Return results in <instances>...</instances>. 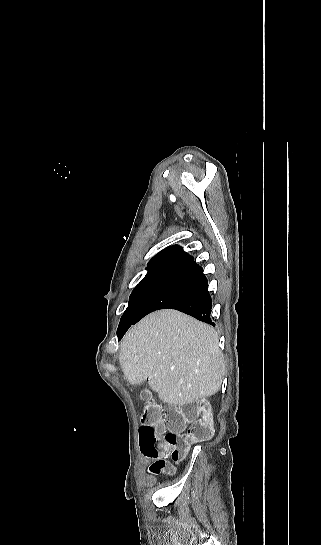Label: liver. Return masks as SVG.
<instances>
[{
    "label": "liver",
    "instance_id": "obj_1",
    "mask_svg": "<svg viewBox=\"0 0 321 545\" xmlns=\"http://www.w3.org/2000/svg\"><path fill=\"white\" fill-rule=\"evenodd\" d=\"M119 363L128 383L148 379L150 389L172 407L215 395L226 369L216 331L172 309L151 313L127 331Z\"/></svg>",
    "mask_w": 321,
    "mask_h": 545
}]
</instances>
